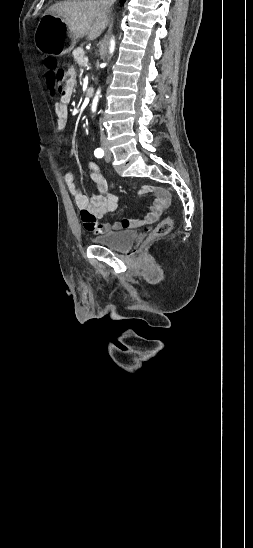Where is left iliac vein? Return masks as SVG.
<instances>
[{"label":"left iliac vein","instance_id":"4c4485c4","mask_svg":"<svg viewBox=\"0 0 253 548\" xmlns=\"http://www.w3.org/2000/svg\"><path fill=\"white\" fill-rule=\"evenodd\" d=\"M104 149H105V160H106V162H110L111 158H112V155H111V152L109 150L108 145H105Z\"/></svg>","mask_w":253,"mask_h":548}]
</instances>
